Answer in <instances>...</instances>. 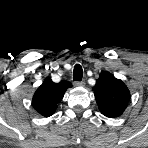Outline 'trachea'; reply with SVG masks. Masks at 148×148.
I'll return each mask as SVG.
<instances>
[{"instance_id": "3493384b", "label": "trachea", "mask_w": 148, "mask_h": 148, "mask_svg": "<svg viewBox=\"0 0 148 148\" xmlns=\"http://www.w3.org/2000/svg\"><path fill=\"white\" fill-rule=\"evenodd\" d=\"M83 77V70L81 65L76 64L73 70V80L74 81H81Z\"/></svg>"}]
</instances>
